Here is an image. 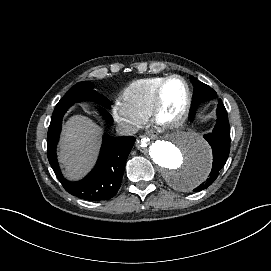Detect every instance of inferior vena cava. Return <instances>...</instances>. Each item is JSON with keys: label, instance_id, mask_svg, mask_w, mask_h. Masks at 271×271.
<instances>
[{"label": "inferior vena cava", "instance_id": "obj_1", "mask_svg": "<svg viewBox=\"0 0 271 271\" xmlns=\"http://www.w3.org/2000/svg\"><path fill=\"white\" fill-rule=\"evenodd\" d=\"M117 134L120 136H126V135H131L133 133L132 129L124 126V127H117Z\"/></svg>", "mask_w": 271, "mask_h": 271}]
</instances>
